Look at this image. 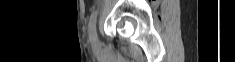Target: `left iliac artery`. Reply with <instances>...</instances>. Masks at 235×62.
Returning a JSON list of instances; mask_svg holds the SVG:
<instances>
[{"instance_id": "obj_1", "label": "left iliac artery", "mask_w": 235, "mask_h": 62, "mask_svg": "<svg viewBox=\"0 0 235 62\" xmlns=\"http://www.w3.org/2000/svg\"><path fill=\"white\" fill-rule=\"evenodd\" d=\"M97 15H98V10H94L90 15L89 24H88L89 34L91 33L96 34Z\"/></svg>"}]
</instances>
